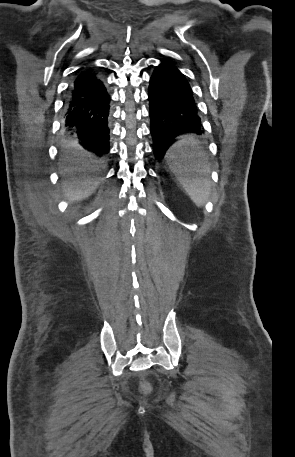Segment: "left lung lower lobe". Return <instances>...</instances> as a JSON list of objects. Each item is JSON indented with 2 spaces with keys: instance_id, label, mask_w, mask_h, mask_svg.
<instances>
[{
  "instance_id": "0a47b994",
  "label": "left lung lower lobe",
  "mask_w": 295,
  "mask_h": 457,
  "mask_svg": "<svg viewBox=\"0 0 295 457\" xmlns=\"http://www.w3.org/2000/svg\"><path fill=\"white\" fill-rule=\"evenodd\" d=\"M150 130L156 159L186 133L201 134L192 89L180 70L171 62L162 60L156 66L149 85Z\"/></svg>"
}]
</instances>
